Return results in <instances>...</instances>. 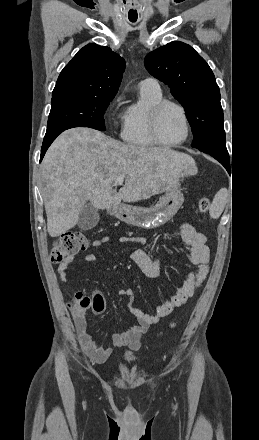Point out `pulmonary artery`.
<instances>
[{"label": "pulmonary artery", "mask_w": 259, "mask_h": 440, "mask_svg": "<svg viewBox=\"0 0 259 440\" xmlns=\"http://www.w3.org/2000/svg\"><path fill=\"white\" fill-rule=\"evenodd\" d=\"M140 91L149 92L153 94L161 93V88L157 80L153 78H146L139 83Z\"/></svg>", "instance_id": "pulmonary-artery-1"}]
</instances>
